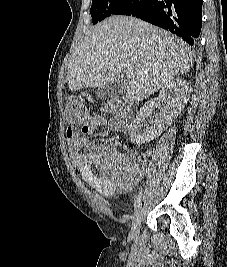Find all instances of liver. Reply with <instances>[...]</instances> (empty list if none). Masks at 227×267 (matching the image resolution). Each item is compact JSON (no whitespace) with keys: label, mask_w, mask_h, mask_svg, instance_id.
Segmentation results:
<instances>
[{"label":"liver","mask_w":227,"mask_h":267,"mask_svg":"<svg viewBox=\"0 0 227 267\" xmlns=\"http://www.w3.org/2000/svg\"><path fill=\"white\" fill-rule=\"evenodd\" d=\"M193 66V54L182 39L140 19L111 16L94 26L74 51L66 83L70 90L102 87L132 69L121 88L141 101Z\"/></svg>","instance_id":"obj_1"}]
</instances>
